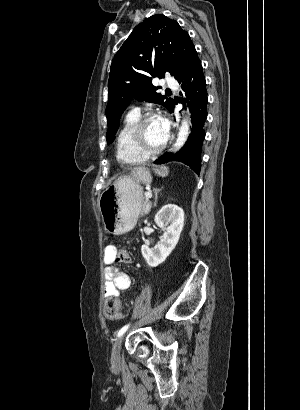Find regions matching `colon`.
<instances>
[{
    "instance_id": "5ec220e1",
    "label": "colon",
    "mask_w": 300,
    "mask_h": 410,
    "mask_svg": "<svg viewBox=\"0 0 300 410\" xmlns=\"http://www.w3.org/2000/svg\"><path fill=\"white\" fill-rule=\"evenodd\" d=\"M115 260L118 263H127L130 260V252L127 247H119L115 252ZM103 312L106 318L116 320L121 316V301L111 295L105 300Z\"/></svg>"
}]
</instances>
